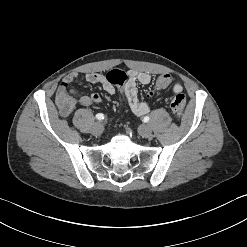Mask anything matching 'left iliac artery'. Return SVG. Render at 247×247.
<instances>
[{"mask_svg":"<svg viewBox=\"0 0 247 247\" xmlns=\"http://www.w3.org/2000/svg\"><path fill=\"white\" fill-rule=\"evenodd\" d=\"M150 120V118L148 117V116H145L144 118H143V121L144 122H148Z\"/></svg>","mask_w":247,"mask_h":247,"instance_id":"left-iliac-artery-1","label":"left iliac artery"}]
</instances>
